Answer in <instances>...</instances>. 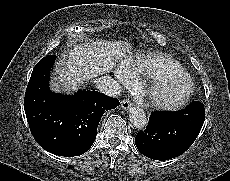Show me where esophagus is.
Instances as JSON below:
<instances>
[{
	"label": "esophagus",
	"instance_id": "obj_1",
	"mask_svg": "<svg viewBox=\"0 0 230 181\" xmlns=\"http://www.w3.org/2000/svg\"><path fill=\"white\" fill-rule=\"evenodd\" d=\"M132 103L129 99H124L121 101V107L124 110H128L131 107Z\"/></svg>",
	"mask_w": 230,
	"mask_h": 181
}]
</instances>
